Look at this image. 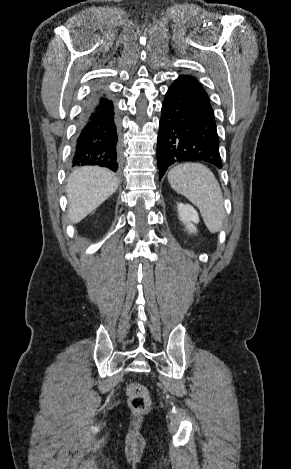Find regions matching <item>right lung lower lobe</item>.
I'll list each match as a JSON object with an SVG mask.
<instances>
[{"mask_svg": "<svg viewBox=\"0 0 291 469\" xmlns=\"http://www.w3.org/2000/svg\"><path fill=\"white\" fill-rule=\"evenodd\" d=\"M119 162V123L114 105L105 95L95 92L80 115L71 164L99 165L117 171Z\"/></svg>", "mask_w": 291, "mask_h": 469, "instance_id": "98d812e1", "label": "right lung lower lobe"}]
</instances>
